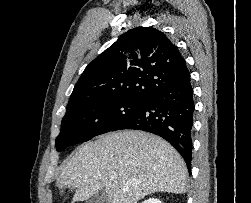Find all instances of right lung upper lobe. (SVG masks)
I'll use <instances>...</instances> for the list:
<instances>
[{"mask_svg": "<svg viewBox=\"0 0 251 203\" xmlns=\"http://www.w3.org/2000/svg\"><path fill=\"white\" fill-rule=\"evenodd\" d=\"M187 72L184 58L163 32L137 27L87 65L67 106L92 100L145 102Z\"/></svg>", "mask_w": 251, "mask_h": 203, "instance_id": "1", "label": "right lung upper lobe"}]
</instances>
